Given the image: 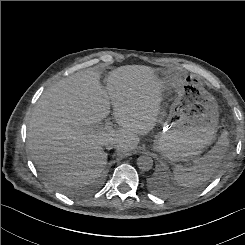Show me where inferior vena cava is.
I'll list each match as a JSON object with an SVG mask.
<instances>
[{
  "mask_svg": "<svg viewBox=\"0 0 245 245\" xmlns=\"http://www.w3.org/2000/svg\"><path fill=\"white\" fill-rule=\"evenodd\" d=\"M107 149H111V148H113V147H116V144H115V142H113V141H106V142H104V144H103Z\"/></svg>",
  "mask_w": 245,
  "mask_h": 245,
  "instance_id": "1",
  "label": "inferior vena cava"
}]
</instances>
